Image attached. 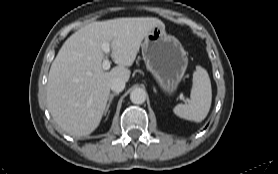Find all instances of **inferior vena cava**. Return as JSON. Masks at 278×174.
<instances>
[{"mask_svg": "<svg viewBox=\"0 0 278 174\" xmlns=\"http://www.w3.org/2000/svg\"><path fill=\"white\" fill-rule=\"evenodd\" d=\"M110 88L114 92H121L125 88V81L121 78H115L111 81Z\"/></svg>", "mask_w": 278, "mask_h": 174, "instance_id": "1", "label": "inferior vena cava"}]
</instances>
